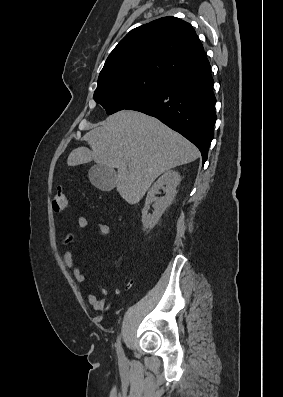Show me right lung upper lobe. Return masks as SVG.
<instances>
[{
    "label": "right lung upper lobe",
    "instance_id": "right-lung-upper-lobe-1",
    "mask_svg": "<svg viewBox=\"0 0 283 397\" xmlns=\"http://www.w3.org/2000/svg\"><path fill=\"white\" fill-rule=\"evenodd\" d=\"M209 64L192 25L168 16L131 30L108 56L98 81L139 74L169 81Z\"/></svg>",
    "mask_w": 283,
    "mask_h": 397
}]
</instances>
